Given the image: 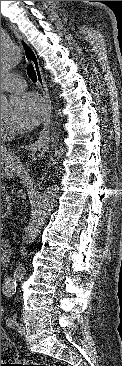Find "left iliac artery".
I'll list each match as a JSON object with an SVG mask.
<instances>
[{"label": "left iliac artery", "mask_w": 122, "mask_h": 366, "mask_svg": "<svg viewBox=\"0 0 122 366\" xmlns=\"http://www.w3.org/2000/svg\"><path fill=\"white\" fill-rule=\"evenodd\" d=\"M6 324L8 327H14L16 325V319L15 318H8L6 320Z\"/></svg>", "instance_id": "44dca946"}]
</instances>
